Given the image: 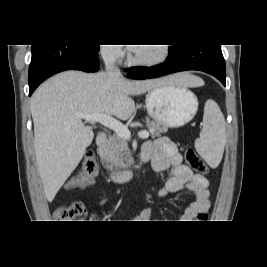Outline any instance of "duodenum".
I'll return each mask as SVG.
<instances>
[{
  "mask_svg": "<svg viewBox=\"0 0 267 267\" xmlns=\"http://www.w3.org/2000/svg\"><path fill=\"white\" fill-rule=\"evenodd\" d=\"M107 134L104 131H101L98 133L96 137V144L99 150V154L101 157L105 154V147L107 144ZM147 161L146 157H140L139 163L143 164ZM108 178L116 183L128 181L133 178L134 176V170L132 168H126L122 170H108L107 171Z\"/></svg>",
  "mask_w": 267,
  "mask_h": 267,
  "instance_id": "1",
  "label": "duodenum"
}]
</instances>
